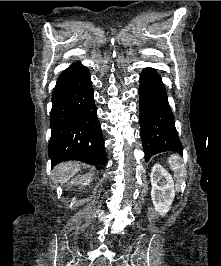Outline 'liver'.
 Instances as JSON below:
<instances>
[{
	"instance_id": "6515ba94",
	"label": "liver",
	"mask_w": 221,
	"mask_h": 266,
	"mask_svg": "<svg viewBox=\"0 0 221 266\" xmlns=\"http://www.w3.org/2000/svg\"><path fill=\"white\" fill-rule=\"evenodd\" d=\"M81 169V163L77 161H68L54 167L52 178L55 183L64 184L71 179Z\"/></svg>"
}]
</instances>
